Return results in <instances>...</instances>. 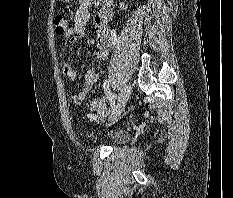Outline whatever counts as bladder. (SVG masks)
Listing matches in <instances>:
<instances>
[{
  "mask_svg": "<svg viewBox=\"0 0 233 198\" xmlns=\"http://www.w3.org/2000/svg\"><path fill=\"white\" fill-rule=\"evenodd\" d=\"M129 139V133L125 130H116L109 135L112 144H122Z\"/></svg>",
  "mask_w": 233,
  "mask_h": 198,
  "instance_id": "31cf9c89",
  "label": "bladder"
}]
</instances>
